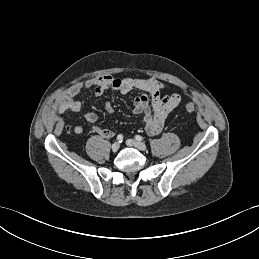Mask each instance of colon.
Masks as SVG:
<instances>
[{
    "label": "colon",
    "mask_w": 259,
    "mask_h": 259,
    "mask_svg": "<svg viewBox=\"0 0 259 259\" xmlns=\"http://www.w3.org/2000/svg\"><path fill=\"white\" fill-rule=\"evenodd\" d=\"M184 108H185V110H186L187 112L191 113V112H193V111L195 110V105H194L193 103L189 102V103H187V104L185 105Z\"/></svg>",
    "instance_id": "obj_1"
}]
</instances>
